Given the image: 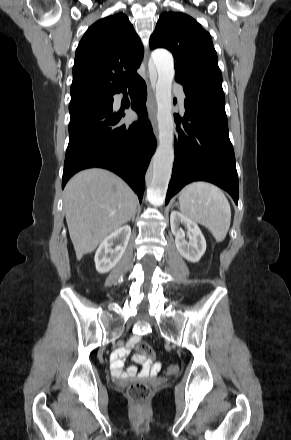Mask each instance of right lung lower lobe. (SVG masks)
Instances as JSON below:
<instances>
[{"mask_svg":"<svg viewBox=\"0 0 291 440\" xmlns=\"http://www.w3.org/2000/svg\"><path fill=\"white\" fill-rule=\"evenodd\" d=\"M131 98L139 119L119 125L123 114L113 111V95ZM147 88L138 76L127 87L111 94L71 99L69 144L64 162L62 188L76 172L100 167L123 178L142 201L145 173L156 149V139L146 114Z\"/></svg>","mask_w":291,"mask_h":440,"instance_id":"right-lung-lower-lobe-1","label":"right lung lower lobe"}]
</instances>
